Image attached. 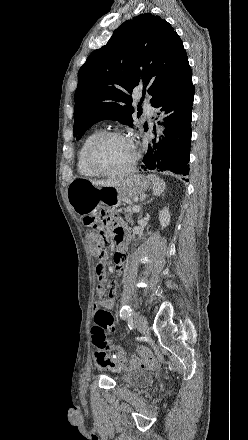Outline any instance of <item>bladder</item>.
I'll return each instance as SVG.
<instances>
[{
  "label": "bladder",
  "instance_id": "31cf9c89",
  "mask_svg": "<svg viewBox=\"0 0 248 440\" xmlns=\"http://www.w3.org/2000/svg\"><path fill=\"white\" fill-rule=\"evenodd\" d=\"M151 375L147 370L143 369H122L117 380L132 385H145L150 382Z\"/></svg>",
  "mask_w": 248,
  "mask_h": 440
}]
</instances>
